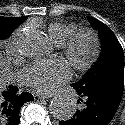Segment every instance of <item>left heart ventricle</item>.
Listing matches in <instances>:
<instances>
[{
  "label": "left heart ventricle",
  "mask_w": 125,
  "mask_h": 125,
  "mask_svg": "<svg viewBox=\"0 0 125 125\" xmlns=\"http://www.w3.org/2000/svg\"><path fill=\"white\" fill-rule=\"evenodd\" d=\"M87 48H88V41H87V40H84V41L82 42V45H81V50H82L83 52H85V51L87 50Z\"/></svg>",
  "instance_id": "1"
}]
</instances>
